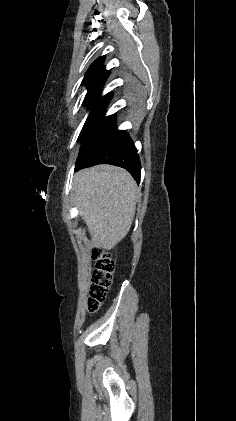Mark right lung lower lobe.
<instances>
[{
	"instance_id": "right-lung-lower-lobe-1",
	"label": "right lung lower lobe",
	"mask_w": 236,
	"mask_h": 421,
	"mask_svg": "<svg viewBox=\"0 0 236 421\" xmlns=\"http://www.w3.org/2000/svg\"><path fill=\"white\" fill-rule=\"evenodd\" d=\"M97 164H112L128 170L139 183L141 165L137 149L125 130H117L114 115L82 144L75 171Z\"/></svg>"
}]
</instances>
